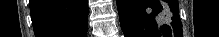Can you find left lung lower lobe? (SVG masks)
Instances as JSON below:
<instances>
[{"mask_svg":"<svg viewBox=\"0 0 219 37\" xmlns=\"http://www.w3.org/2000/svg\"><path fill=\"white\" fill-rule=\"evenodd\" d=\"M125 37H182L178 0H117Z\"/></svg>","mask_w":219,"mask_h":37,"instance_id":"left-lung-lower-lobe-1","label":"left lung lower lobe"}]
</instances>
